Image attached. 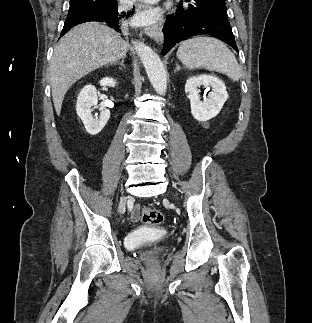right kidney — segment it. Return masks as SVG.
Returning <instances> with one entry per match:
<instances>
[{
  "label": "right kidney",
  "mask_w": 312,
  "mask_h": 323,
  "mask_svg": "<svg viewBox=\"0 0 312 323\" xmlns=\"http://www.w3.org/2000/svg\"><path fill=\"white\" fill-rule=\"evenodd\" d=\"M115 84L116 82L113 78H102L100 80V86L114 88ZM97 104V90L95 86H84L80 94H78L76 112L77 116L81 118L86 132L91 134V136L99 134L110 118V112L106 108H100V116L98 118L93 116L92 112H94V108H98Z\"/></svg>",
  "instance_id": "1"
}]
</instances>
